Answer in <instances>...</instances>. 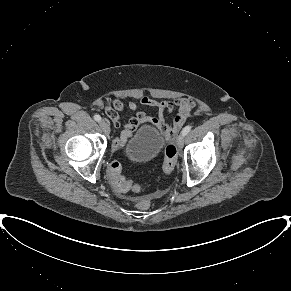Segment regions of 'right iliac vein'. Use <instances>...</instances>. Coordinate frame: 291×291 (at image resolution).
Here are the masks:
<instances>
[{"instance_id":"obj_1","label":"right iliac vein","mask_w":291,"mask_h":291,"mask_svg":"<svg viewBox=\"0 0 291 291\" xmlns=\"http://www.w3.org/2000/svg\"><path fill=\"white\" fill-rule=\"evenodd\" d=\"M100 127L102 128L103 132L105 134H109L110 133V125L106 120H101L100 121Z\"/></svg>"}]
</instances>
